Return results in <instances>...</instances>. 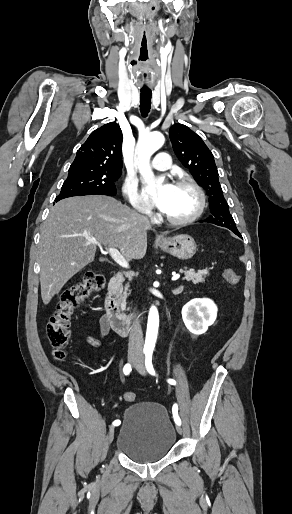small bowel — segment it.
<instances>
[{
    "label": "small bowel",
    "mask_w": 292,
    "mask_h": 514,
    "mask_svg": "<svg viewBox=\"0 0 292 514\" xmlns=\"http://www.w3.org/2000/svg\"><path fill=\"white\" fill-rule=\"evenodd\" d=\"M99 327H100V336L101 339L94 338L92 336H87L84 338V342L90 346L93 347H101L103 342L102 339L107 337L110 333V326L109 323L106 320V315H102L99 320Z\"/></svg>",
    "instance_id": "c3829d8e"
}]
</instances>
